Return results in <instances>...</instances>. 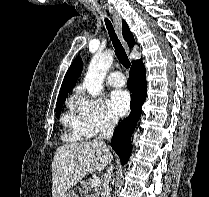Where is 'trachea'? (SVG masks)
<instances>
[{"instance_id": "3493384b", "label": "trachea", "mask_w": 209, "mask_h": 197, "mask_svg": "<svg viewBox=\"0 0 209 197\" xmlns=\"http://www.w3.org/2000/svg\"><path fill=\"white\" fill-rule=\"evenodd\" d=\"M105 25H106V28L108 30L109 37L111 39V42L113 44V47L115 49V53H116V56H117L119 62L125 68H129L131 63H130L128 57H127V54H126L120 40L118 39V37L116 35V32L113 28V25H112L111 21L108 18H105Z\"/></svg>"}]
</instances>
